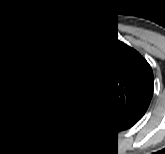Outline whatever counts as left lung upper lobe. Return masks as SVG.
Segmentation results:
<instances>
[{
    "label": "left lung upper lobe",
    "mask_w": 165,
    "mask_h": 154,
    "mask_svg": "<svg viewBox=\"0 0 165 154\" xmlns=\"http://www.w3.org/2000/svg\"><path fill=\"white\" fill-rule=\"evenodd\" d=\"M83 36L103 57L110 87L107 112L141 119L153 95V72L133 48L105 32Z\"/></svg>",
    "instance_id": "obj_1"
}]
</instances>
